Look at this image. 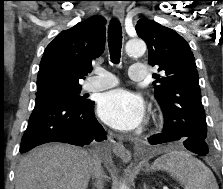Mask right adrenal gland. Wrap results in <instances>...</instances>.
Segmentation results:
<instances>
[{
    "label": "right adrenal gland",
    "instance_id": "1",
    "mask_svg": "<svg viewBox=\"0 0 223 189\" xmlns=\"http://www.w3.org/2000/svg\"><path fill=\"white\" fill-rule=\"evenodd\" d=\"M94 186H95L97 189H102L101 185H99L98 183L94 184Z\"/></svg>",
    "mask_w": 223,
    "mask_h": 189
}]
</instances>
